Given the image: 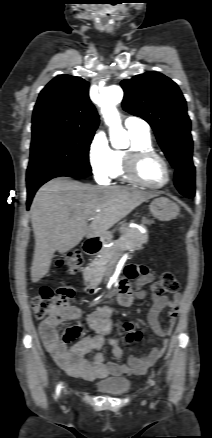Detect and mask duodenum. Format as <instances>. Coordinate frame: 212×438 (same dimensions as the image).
<instances>
[{
	"mask_svg": "<svg viewBox=\"0 0 212 438\" xmlns=\"http://www.w3.org/2000/svg\"><path fill=\"white\" fill-rule=\"evenodd\" d=\"M101 248V240L99 238H89L83 243V250L86 254L95 255ZM93 290L92 286H89Z\"/></svg>",
	"mask_w": 212,
	"mask_h": 438,
	"instance_id": "1",
	"label": "duodenum"
}]
</instances>
